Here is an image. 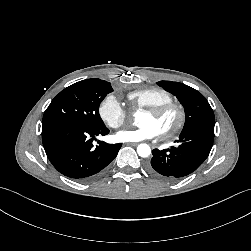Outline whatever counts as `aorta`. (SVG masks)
Listing matches in <instances>:
<instances>
[{
	"mask_svg": "<svg viewBox=\"0 0 251 251\" xmlns=\"http://www.w3.org/2000/svg\"><path fill=\"white\" fill-rule=\"evenodd\" d=\"M137 153L140 157H148L151 154V148L147 144H139L137 147Z\"/></svg>",
	"mask_w": 251,
	"mask_h": 251,
	"instance_id": "762f6f07",
	"label": "aorta"
}]
</instances>
